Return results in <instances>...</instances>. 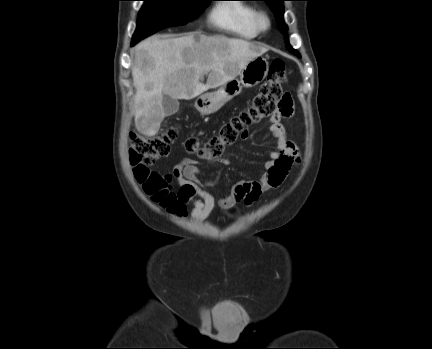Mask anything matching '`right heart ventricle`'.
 I'll list each match as a JSON object with an SVG mask.
<instances>
[{"label": "right heart ventricle", "mask_w": 432, "mask_h": 349, "mask_svg": "<svg viewBox=\"0 0 432 349\" xmlns=\"http://www.w3.org/2000/svg\"><path fill=\"white\" fill-rule=\"evenodd\" d=\"M256 12L254 6L246 3H219L212 8L209 20L215 27L235 37L254 39L259 34L255 25Z\"/></svg>", "instance_id": "1"}]
</instances>
